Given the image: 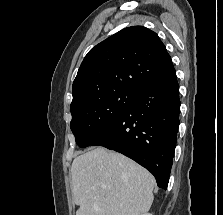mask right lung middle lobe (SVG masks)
I'll return each instance as SVG.
<instances>
[{"mask_svg": "<svg viewBox=\"0 0 223 215\" xmlns=\"http://www.w3.org/2000/svg\"><path fill=\"white\" fill-rule=\"evenodd\" d=\"M136 93L117 90L71 108L70 128L79 147L90 146L121 118Z\"/></svg>", "mask_w": 223, "mask_h": 215, "instance_id": "right-lung-middle-lobe-1", "label": "right lung middle lobe"}]
</instances>
